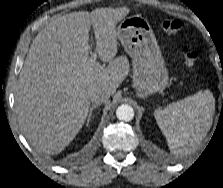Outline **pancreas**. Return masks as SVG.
Instances as JSON below:
<instances>
[{
  "label": "pancreas",
  "mask_w": 223,
  "mask_h": 188,
  "mask_svg": "<svg viewBox=\"0 0 223 188\" xmlns=\"http://www.w3.org/2000/svg\"><path fill=\"white\" fill-rule=\"evenodd\" d=\"M119 61H125L126 62V59L125 58H119Z\"/></svg>",
  "instance_id": "1"
}]
</instances>
